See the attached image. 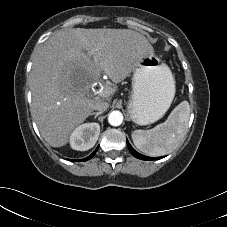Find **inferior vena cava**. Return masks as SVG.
I'll return each mask as SVG.
<instances>
[{"label": "inferior vena cava", "mask_w": 227, "mask_h": 227, "mask_svg": "<svg viewBox=\"0 0 227 227\" xmlns=\"http://www.w3.org/2000/svg\"><path fill=\"white\" fill-rule=\"evenodd\" d=\"M93 110H98V111H105L108 108V103L107 102H96L93 106H92Z\"/></svg>", "instance_id": "inferior-vena-cava-1"}]
</instances>
